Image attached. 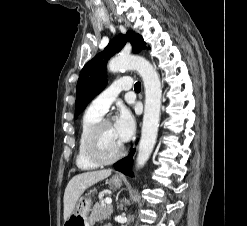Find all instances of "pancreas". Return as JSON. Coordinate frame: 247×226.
I'll return each instance as SVG.
<instances>
[{
  "instance_id": "1",
  "label": "pancreas",
  "mask_w": 247,
  "mask_h": 226,
  "mask_svg": "<svg viewBox=\"0 0 247 226\" xmlns=\"http://www.w3.org/2000/svg\"><path fill=\"white\" fill-rule=\"evenodd\" d=\"M112 206L111 205H105L104 203H97L95 204L92 213L89 217V221L91 223L97 222V221H103L110 218L112 214Z\"/></svg>"
}]
</instances>
